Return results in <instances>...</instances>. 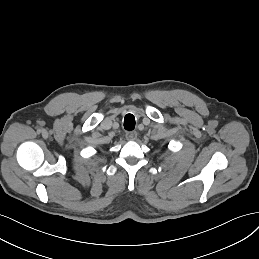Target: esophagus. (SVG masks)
I'll return each instance as SVG.
<instances>
[{"label":"esophagus","instance_id":"1","mask_svg":"<svg viewBox=\"0 0 259 259\" xmlns=\"http://www.w3.org/2000/svg\"><path fill=\"white\" fill-rule=\"evenodd\" d=\"M137 138V132L136 131H129L126 133V139L128 141H134Z\"/></svg>","mask_w":259,"mask_h":259}]
</instances>
